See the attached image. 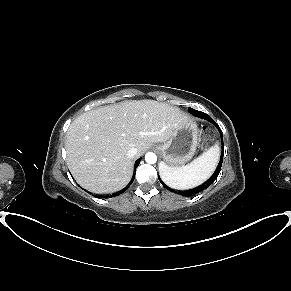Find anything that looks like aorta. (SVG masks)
Instances as JSON below:
<instances>
[{"instance_id":"1","label":"aorta","mask_w":291,"mask_h":291,"mask_svg":"<svg viewBox=\"0 0 291 291\" xmlns=\"http://www.w3.org/2000/svg\"><path fill=\"white\" fill-rule=\"evenodd\" d=\"M145 161L149 164H154L157 161V156L153 152H148L145 155Z\"/></svg>"}]
</instances>
